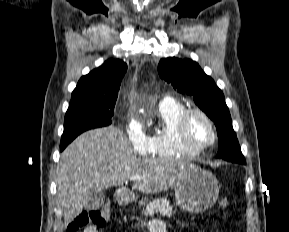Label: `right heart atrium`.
Returning <instances> with one entry per match:
<instances>
[{"mask_svg": "<svg viewBox=\"0 0 289 232\" xmlns=\"http://www.w3.org/2000/svg\"><path fill=\"white\" fill-rule=\"evenodd\" d=\"M125 135L132 149L141 155L150 152V139L145 133L141 122L135 117H129L125 125Z\"/></svg>", "mask_w": 289, "mask_h": 232, "instance_id": "obj_1", "label": "right heart atrium"}]
</instances>
